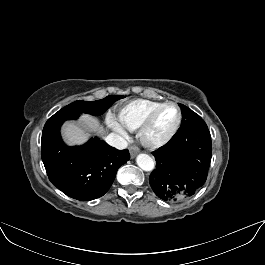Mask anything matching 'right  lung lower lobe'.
<instances>
[{
	"label": "right lung lower lobe",
	"mask_w": 265,
	"mask_h": 265,
	"mask_svg": "<svg viewBox=\"0 0 265 265\" xmlns=\"http://www.w3.org/2000/svg\"><path fill=\"white\" fill-rule=\"evenodd\" d=\"M78 117L53 115L47 120L42 132V160L53 185L71 198L86 201L109 190L118 168L130 159V154L96 137L82 146H66L60 127L64 121Z\"/></svg>",
	"instance_id": "obj_1"
}]
</instances>
